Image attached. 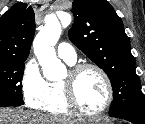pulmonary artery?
I'll return each instance as SVG.
<instances>
[{
	"label": "pulmonary artery",
	"instance_id": "1",
	"mask_svg": "<svg viewBox=\"0 0 145 124\" xmlns=\"http://www.w3.org/2000/svg\"><path fill=\"white\" fill-rule=\"evenodd\" d=\"M57 53L60 58L69 63L73 64L77 60L75 48L69 43L66 42L60 43L57 47Z\"/></svg>",
	"mask_w": 145,
	"mask_h": 124
}]
</instances>
